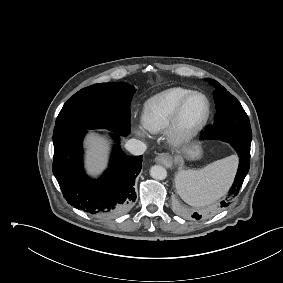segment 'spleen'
<instances>
[{"label":"spleen","mask_w":283,"mask_h":283,"mask_svg":"<svg viewBox=\"0 0 283 283\" xmlns=\"http://www.w3.org/2000/svg\"><path fill=\"white\" fill-rule=\"evenodd\" d=\"M237 168L231 155L198 170H182L176 177L177 192L187 204L200 207L223 196L230 187Z\"/></svg>","instance_id":"obj_1"}]
</instances>
